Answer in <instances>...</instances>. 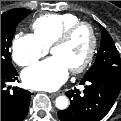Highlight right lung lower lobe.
I'll return each instance as SVG.
<instances>
[{"instance_id":"right-lung-lower-lobe-1","label":"right lung lower lobe","mask_w":121,"mask_h":121,"mask_svg":"<svg viewBox=\"0 0 121 121\" xmlns=\"http://www.w3.org/2000/svg\"><path fill=\"white\" fill-rule=\"evenodd\" d=\"M16 69H1V121H22L27 113L32 93L13 87L10 91L9 82L17 80Z\"/></svg>"}]
</instances>
